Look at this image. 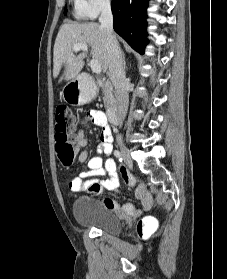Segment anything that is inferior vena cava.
Returning a JSON list of instances; mask_svg holds the SVG:
<instances>
[{
    "label": "inferior vena cava",
    "mask_w": 227,
    "mask_h": 279,
    "mask_svg": "<svg viewBox=\"0 0 227 279\" xmlns=\"http://www.w3.org/2000/svg\"><path fill=\"white\" fill-rule=\"evenodd\" d=\"M99 22L107 35L109 77L116 91L118 119L122 121L128 108L129 82L126 79L122 53L113 32V16L109 0H104L101 5Z\"/></svg>",
    "instance_id": "1"
}]
</instances>
